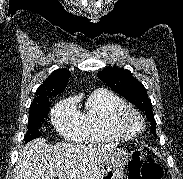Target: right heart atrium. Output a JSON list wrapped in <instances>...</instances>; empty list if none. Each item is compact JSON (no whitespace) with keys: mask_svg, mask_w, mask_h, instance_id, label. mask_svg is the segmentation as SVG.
<instances>
[{"mask_svg":"<svg viewBox=\"0 0 183 179\" xmlns=\"http://www.w3.org/2000/svg\"><path fill=\"white\" fill-rule=\"evenodd\" d=\"M52 122L64 137L77 139L80 136L82 129L81 117L73 98L63 100L53 108Z\"/></svg>","mask_w":183,"mask_h":179,"instance_id":"1","label":"right heart atrium"}]
</instances>
